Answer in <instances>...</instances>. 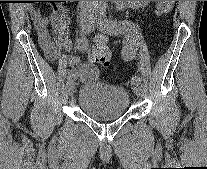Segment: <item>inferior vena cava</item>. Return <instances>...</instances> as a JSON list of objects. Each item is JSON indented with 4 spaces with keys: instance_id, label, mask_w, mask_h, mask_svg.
<instances>
[{
    "instance_id": "inferior-vena-cava-1",
    "label": "inferior vena cava",
    "mask_w": 207,
    "mask_h": 169,
    "mask_svg": "<svg viewBox=\"0 0 207 169\" xmlns=\"http://www.w3.org/2000/svg\"><path fill=\"white\" fill-rule=\"evenodd\" d=\"M87 2H90V3H93V4L95 3V1H87Z\"/></svg>"
}]
</instances>
